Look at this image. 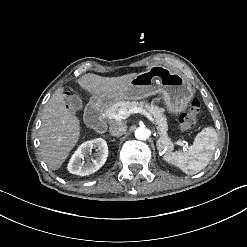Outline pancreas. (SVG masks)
<instances>
[{"label": "pancreas", "mask_w": 247, "mask_h": 247, "mask_svg": "<svg viewBox=\"0 0 247 247\" xmlns=\"http://www.w3.org/2000/svg\"><path fill=\"white\" fill-rule=\"evenodd\" d=\"M134 107L145 108L146 111L155 118V122L158 126V133L160 135L157 141V149L161 151L164 148H168V152L170 153L173 150V145L167 135L168 125L166 116L163 113V108H160L154 104H149L145 101H118L104 110V118H107L109 119V122H112L111 116L114 114H118L119 110H129Z\"/></svg>", "instance_id": "obj_1"}]
</instances>
